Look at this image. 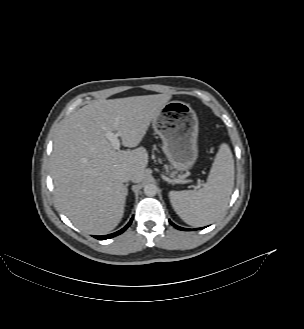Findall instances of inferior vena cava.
<instances>
[{
	"instance_id": "obj_1",
	"label": "inferior vena cava",
	"mask_w": 304,
	"mask_h": 329,
	"mask_svg": "<svg viewBox=\"0 0 304 329\" xmlns=\"http://www.w3.org/2000/svg\"><path fill=\"white\" fill-rule=\"evenodd\" d=\"M119 178L122 182H128L129 180H132V174L128 171H122L119 174Z\"/></svg>"
}]
</instances>
